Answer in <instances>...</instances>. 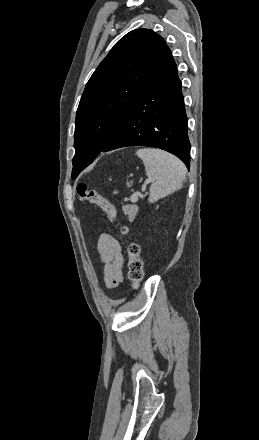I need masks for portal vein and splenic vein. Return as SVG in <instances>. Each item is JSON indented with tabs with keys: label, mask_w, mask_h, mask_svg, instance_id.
<instances>
[{
	"label": "portal vein and splenic vein",
	"mask_w": 259,
	"mask_h": 440,
	"mask_svg": "<svg viewBox=\"0 0 259 440\" xmlns=\"http://www.w3.org/2000/svg\"><path fill=\"white\" fill-rule=\"evenodd\" d=\"M151 182V180H147L146 181V183H150ZM145 190V188H142V191H144ZM138 195H140V193L138 194V193H134V194H132V199H131V201L132 202H136L137 200H138Z\"/></svg>",
	"instance_id": "obj_1"
}]
</instances>
